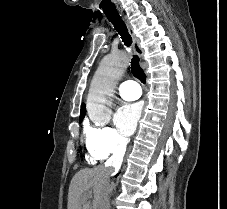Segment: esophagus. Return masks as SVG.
Returning a JSON list of instances; mask_svg holds the SVG:
<instances>
[{
	"label": "esophagus",
	"mask_w": 227,
	"mask_h": 209,
	"mask_svg": "<svg viewBox=\"0 0 227 209\" xmlns=\"http://www.w3.org/2000/svg\"><path fill=\"white\" fill-rule=\"evenodd\" d=\"M121 19H123L129 29V33L133 39V50L135 52L136 55H138L139 57H142L144 54V51L142 49V47L140 46V40L139 38L135 35L132 26L130 25L129 21H128V14H121Z\"/></svg>",
	"instance_id": "esophagus-1"
}]
</instances>
